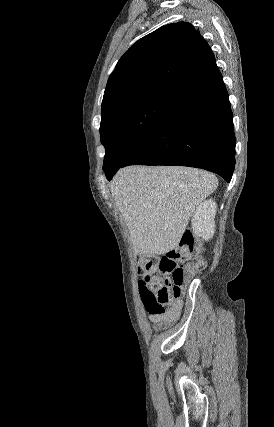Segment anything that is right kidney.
<instances>
[{
    "mask_svg": "<svg viewBox=\"0 0 274 427\" xmlns=\"http://www.w3.org/2000/svg\"><path fill=\"white\" fill-rule=\"evenodd\" d=\"M215 214L216 202L212 198L205 200V202H202L198 206L191 219L195 235H199L205 241L213 237L215 231Z\"/></svg>",
    "mask_w": 274,
    "mask_h": 427,
    "instance_id": "obj_1",
    "label": "right kidney"
}]
</instances>
